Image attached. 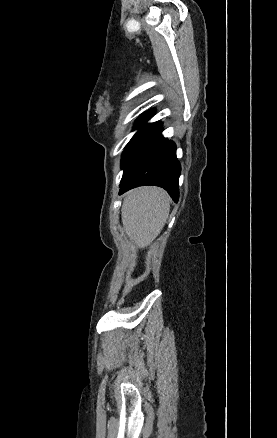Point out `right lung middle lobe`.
<instances>
[{
  "label": "right lung middle lobe",
  "instance_id": "right-lung-middle-lobe-1",
  "mask_svg": "<svg viewBox=\"0 0 277 438\" xmlns=\"http://www.w3.org/2000/svg\"><path fill=\"white\" fill-rule=\"evenodd\" d=\"M152 115L153 113L143 114L135 124L134 129H140L133 136L123 152L121 161V168L124 170L123 176L161 129V123L159 122L145 125Z\"/></svg>",
  "mask_w": 277,
  "mask_h": 438
}]
</instances>
